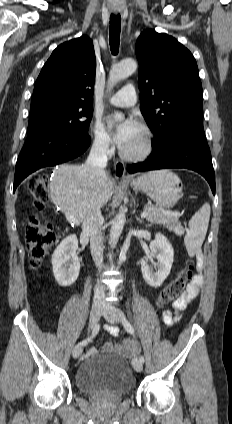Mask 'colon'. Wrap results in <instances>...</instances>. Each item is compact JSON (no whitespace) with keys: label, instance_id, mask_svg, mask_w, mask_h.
<instances>
[{"label":"colon","instance_id":"5ec220e1","mask_svg":"<svg viewBox=\"0 0 232 424\" xmlns=\"http://www.w3.org/2000/svg\"><path fill=\"white\" fill-rule=\"evenodd\" d=\"M29 189L37 208L42 209L48 200L44 177H33L29 182ZM54 242L55 234L51 226L43 222V214L39 212L31 215L26 230V246L31 267L37 268L40 266ZM193 268L194 262L190 259L185 260L176 277L171 280L157 296V307L162 308L168 305L181 294L192 276ZM120 343L121 347L124 346L130 349L135 345L129 337H124Z\"/></svg>","mask_w":232,"mask_h":424}]
</instances>
